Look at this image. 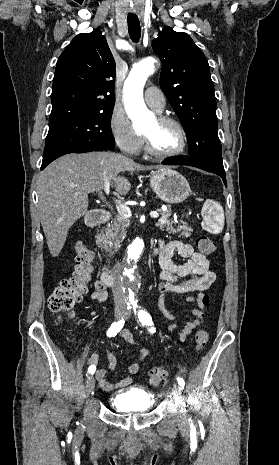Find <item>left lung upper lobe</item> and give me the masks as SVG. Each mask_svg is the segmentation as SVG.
Here are the masks:
<instances>
[{
    "instance_id": "1",
    "label": "left lung upper lobe",
    "mask_w": 279,
    "mask_h": 465,
    "mask_svg": "<svg viewBox=\"0 0 279 465\" xmlns=\"http://www.w3.org/2000/svg\"><path fill=\"white\" fill-rule=\"evenodd\" d=\"M152 48L162 61L160 85L187 135L189 157L224 172L209 64L191 37L165 27Z\"/></svg>"
}]
</instances>
